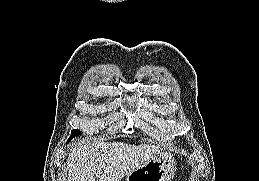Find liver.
Segmentation results:
<instances>
[{
  "instance_id": "6515ba94",
  "label": "liver",
  "mask_w": 259,
  "mask_h": 181,
  "mask_svg": "<svg viewBox=\"0 0 259 181\" xmlns=\"http://www.w3.org/2000/svg\"><path fill=\"white\" fill-rule=\"evenodd\" d=\"M160 154L161 149L151 144L86 143L72 149L67 181H120Z\"/></svg>"
}]
</instances>
